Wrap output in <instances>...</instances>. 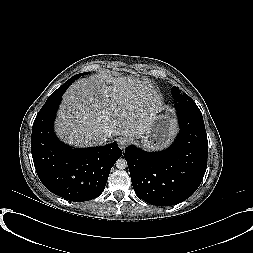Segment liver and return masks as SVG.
<instances>
[{"label": "liver", "mask_w": 253, "mask_h": 253, "mask_svg": "<svg viewBox=\"0 0 253 253\" xmlns=\"http://www.w3.org/2000/svg\"><path fill=\"white\" fill-rule=\"evenodd\" d=\"M156 92L133 75H94L73 83L63 96L55 131L71 145L100 144V136L141 138L155 115Z\"/></svg>", "instance_id": "obj_1"}]
</instances>
